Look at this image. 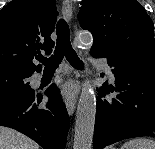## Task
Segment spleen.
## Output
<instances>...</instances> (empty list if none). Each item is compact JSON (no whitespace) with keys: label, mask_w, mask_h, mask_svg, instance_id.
Here are the masks:
<instances>
[{"label":"spleen","mask_w":155,"mask_h":149,"mask_svg":"<svg viewBox=\"0 0 155 149\" xmlns=\"http://www.w3.org/2000/svg\"><path fill=\"white\" fill-rule=\"evenodd\" d=\"M121 149H155V141L147 138H135L125 142Z\"/></svg>","instance_id":"3e777b00"}]
</instances>
